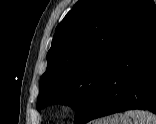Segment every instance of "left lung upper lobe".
Wrapping results in <instances>:
<instances>
[{"label": "left lung upper lobe", "instance_id": "left-lung-upper-lobe-1", "mask_svg": "<svg viewBox=\"0 0 156 124\" xmlns=\"http://www.w3.org/2000/svg\"><path fill=\"white\" fill-rule=\"evenodd\" d=\"M155 14L152 0H79L55 30L37 110L71 105L79 124L116 61Z\"/></svg>", "mask_w": 156, "mask_h": 124}]
</instances>
